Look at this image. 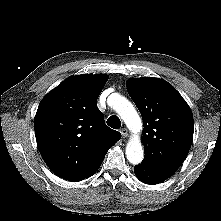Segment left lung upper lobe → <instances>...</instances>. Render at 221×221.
<instances>
[{"label": "left lung upper lobe", "mask_w": 221, "mask_h": 221, "mask_svg": "<svg viewBox=\"0 0 221 221\" xmlns=\"http://www.w3.org/2000/svg\"><path fill=\"white\" fill-rule=\"evenodd\" d=\"M127 90L143 118V162L174 173L192 143L190 107L171 84L159 78L131 79Z\"/></svg>", "instance_id": "5c2ea615"}]
</instances>
